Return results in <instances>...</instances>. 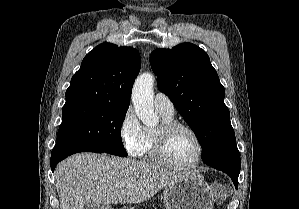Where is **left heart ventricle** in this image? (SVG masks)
I'll list each match as a JSON object with an SVG mask.
<instances>
[{
  "label": "left heart ventricle",
  "instance_id": "b2bd125f",
  "mask_svg": "<svg viewBox=\"0 0 299 209\" xmlns=\"http://www.w3.org/2000/svg\"><path fill=\"white\" fill-rule=\"evenodd\" d=\"M158 129L159 127L155 131ZM167 154L177 164H191L197 158L198 146L195 139L188 132L180 130L170 136Z\"/></svg>",
  "mask_w": 299,
  "mask_h": 209
}]
</instances>
